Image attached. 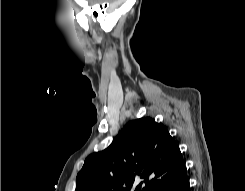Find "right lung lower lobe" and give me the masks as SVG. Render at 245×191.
Returning a JSON list of instances; mask_svg holds the SVG:
<instances>
[{
  "instance_id": "98d812e1",
  "label": "right lung lower lobe",
  "mask_w": 245,
  "mask_h": 191,
  "mask_svg": "<svg viewBox=\"0 0 245 191\" xmlns=\"http://www.w3.org/2000/svg\"><path fill=\"white\" fill-rule=\"evenodd\" d=\"M153 191H190L186 167H183L178 173L161 182Z\"/></svg>"
}]
</instances>
